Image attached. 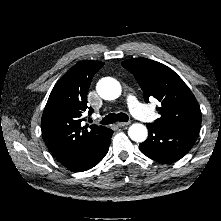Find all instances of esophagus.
<instances>
[{
    "instance_id": "1",
    "label": "esophagus",
    "mask_w": 221,
    "mask_h": 221,
    "mask_svg": "<svg viewBox=\"0 0 221 221\" xmlns=\"http://www.w3.org/2000/svg\"><path fill=\"white\" fill-rule=\"evenodd\" d=\"M130 124V122H118V126L119 127H125V126H128Z\"/></svg>"
}]
</instances>
